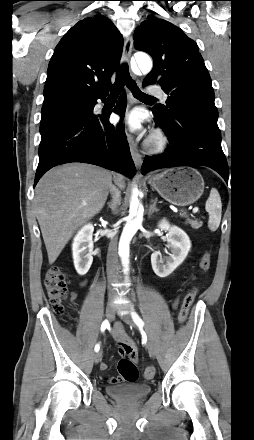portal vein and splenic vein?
I'll list each match as a JSON object with an SVG mask.
<instances>
[{
	"label": "portal vein and splenic vein",
	"instance_id": "portal-vein-and-splenic-vein-1",
	"mask_svg": "<svg viewBox=\"0 0 254 440\" xmlns=\"http://www.w3.org/2000/svg\"><path fill=\"white\" fill-rule=\"evenodd\" d=\"M197 212H198V208L197 207L193 208V213L195 214Z\"/></svg>",
	"mask_w": 254,
	"mask_h": 440
}]
</instances>
